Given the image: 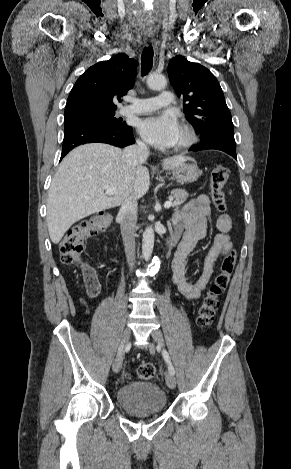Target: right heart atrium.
<instances>
[{"instance_id":"obj_1","label":"right heart atrium","mask_w":291,"mask_h":469,"mask_svg":"<svg viewBox=\"0 0 291 469\" xmlns=\"http://www.w3.org/2000/svg\"><path fill=\"white\" fill-rule=\"evenodd\" d=\"M138 144L140 147L144 148L145 147V144L142 142V141H138Z\"/></svg>"}]
</instances>
